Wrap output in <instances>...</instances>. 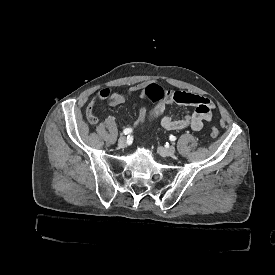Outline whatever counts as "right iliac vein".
Instances as JSON below:
<instances>
[{
  "label": "right iliac vein",
  "mask_w": 275,
  "mask_h": 275,
  "mask_svg": "<svg viewBox=\"0 0 275 275\" xmlns=\"http://www.w3.org/2000/svg\"><path fill=\"white\" fill-rule=\"evenodd\" d=\"M127 145V138L125 136L120 137L118 140V147L124 149Z\"/></svg>",
  "instance_id": "right-iliac-vein-1"
}]
</instances>
